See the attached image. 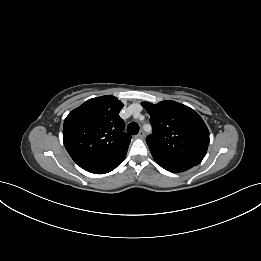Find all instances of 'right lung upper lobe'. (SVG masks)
<instances>
[{
	"label": "right lung upper lobe",
	"mask_w": 261,
	"mask_h": 261,
	"mask_svg": "<svg viewBox=\"0 0 261 261\" xmlns=\"http://www.w3.org/2000/svg\"><path fill=\"white\" fill-rule=\"evenodd\" d=\"M123 103L111 95L92 98L72 110L63 125V141L71 158L116 159L127 153L131 136L119 117Z\"/></svg>",
	"instance_id": "right-lung-upper-lobe-1"
}]
</instances>
